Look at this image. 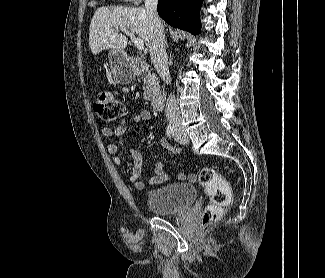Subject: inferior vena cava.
Returning <instances> with one entry per match:
<instances>
[{"label":"inferior vena cava","mask_w":325,"mask_h":278,"mask_svg":"<svg viewBox=\"0 0 325 278\" xmlns=\"http://www.w3.org/2000/svg\"><path fill=\"white\" fill-rule=\"evenodd\" d=\"M158 0H145V10L149 19L150 44L149 51L155 69L161 79L166 83H171L168 57L165 50V35L162 22L157 13ZM166 117L170 123L179 124L181 116L175 96L170 94L166 101Z\"/></svg>","instance_id":"1"}]
</instances>
